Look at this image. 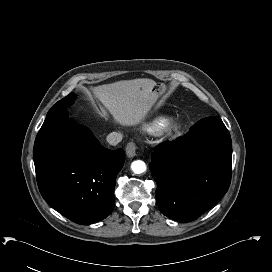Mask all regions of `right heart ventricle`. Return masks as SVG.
Here are the masks:
<instances>
[{
  "label": "right heart ventricle",
  "instance_id": "right-heart-ventricle-1",
  "mask_svg": "<svg viewBox=\"0 0 272 272\" xmlns=\"http://www.w3.org/2000/svg\"><path fill=\"white\" fill-rule=\"evenodd\" d=\"M168 123L169 121L167 119H159L149 124L146 129L148 132L160 131L165 129Z\"/></svg>",
  "mask_w": 272,
  "mask_h": 272
}]
</instances>
